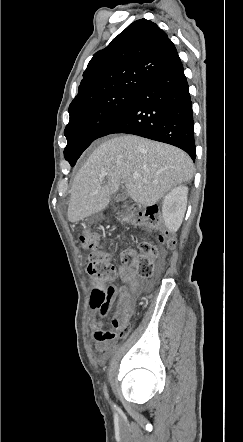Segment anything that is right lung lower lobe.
Returning a JSON list of instances; mask_svg holds the SVG:
<instances>
[{"label":"right lung lower lobe","mask_w":243,"mask_h":442,"mask_svg":"<svg viewBox=\"0 0 243 442\" xmlns=\"http://www.w3.org/2000/svg\"><path fill=\"white\" fill-rule=\"evenodd\" d=\"M114 133L168 143L195 159L192 101L178 55L136 90L98 138Z\"/></svg>","instance_id":"98d812e1"}]
</instances>
